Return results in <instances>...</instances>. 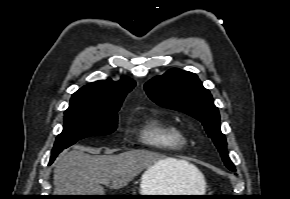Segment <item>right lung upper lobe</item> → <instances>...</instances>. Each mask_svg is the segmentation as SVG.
<instances>
[{
	"label": "right lung upper lobe",
	"instance_id": "cb5924a9",
	"mask_svg": "<svg viewBox=\"0 0 290 199\" xmlns=\"http://www.w3.org/2000/svg\"><path fill=\"white\" fill-rule=\"evenodd\" d=\"M134 86L135 82L125 76L118 82L111 79L93 82L72 95L68 109L119 110L126 93L130 92Z\"/></svg>",
	"mask_w": 290,
	"mask_h": 199
}]
</instances>
